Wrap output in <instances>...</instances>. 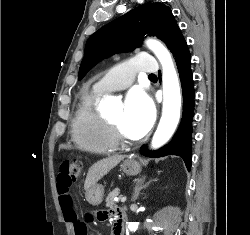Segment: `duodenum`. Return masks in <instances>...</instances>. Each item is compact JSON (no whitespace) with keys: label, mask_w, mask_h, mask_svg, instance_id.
Listing matches in <instances>:
<instances>
[{"label":"duodenum","mask_w":250,"mask_h":235,"mask_svg":"<svg viewBox=\"0 0 250 235\" xmlns=\"http://www.w3.org/2000/svg\"><path fill=\"white\" fill-rule=\"evenodd\" d=\"M127 222V215L124 211H119L113 228L114 235H123L124 225Z\"/></svg>","instance_id":"duodenum-1"}]
</instances>
